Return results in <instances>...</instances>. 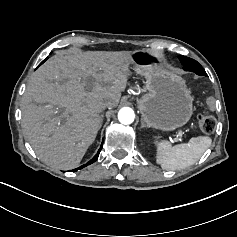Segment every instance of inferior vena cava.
Masks as SVG:
<instances>
[{
  "instance_id": "602c4592",
  "label": "inferior vena cava",
  "mask_w": 237,
  "mask_h": 237,
  "mask_svg": "<svg viewBox=\"0 0 237 237\" xmlns=\"http://www.w3.org/2000/svg\"><path fill=\"white\" fill-rule=\"evenodd\" d=\"M100 106L102 109H105V108L111 107L112 103H111V101L103 100L100 102Z\"/></svg>"
}]
</instances>
